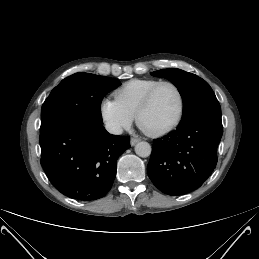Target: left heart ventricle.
<instances>
[{"mask_svg": "<svg viewBox=\"0 0 259 259\" xmlns=\"http://www.w3.org/2000/svg\"><path fill=\"white\" fill-rule=\"evenodd\" d=\"M178 110L177 93L172 87L163 85L156 91L150 107L144 113L142 126L148 131L161 130L173 122Z\"/></svg>", "mask_w": 259, "mask_h": 259, "instance_id": "b2bd125f", "label": "left heart ventricle"}]
</instances>
